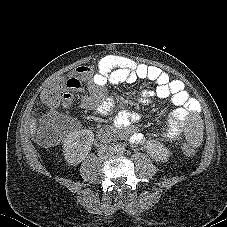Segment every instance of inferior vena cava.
<instances>
[{"label":"inferior vena cava","mask_w":227,"mask_h":227,"mask_svg":"<svg viewBox=\"0 0 227 227\" xmlns=\"http://www.w3.org/2000/svg\"><path fill=\"white\" fill-rule=\"evenodd\" d=\"M111 151H112V147L108 146V145H105V146H101L99 148L98 154H99V156L101 158H107L108 155H110Z\"/></svg>","instance_id":"1"}]
</instances>
